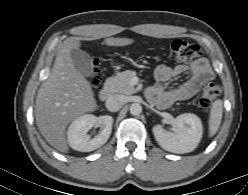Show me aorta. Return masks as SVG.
Returning a JSON list of instances; mask_svg holds the SVG:
<instances>
[{
  "label": "aorta",
  "mask_w": 248,
  "mask_h": 195,
  "mask_svg": "<svg viewBox=\"0 0 248 195\" xmlns=\"http://www.w3.org/2000/svg\"><path fill=\"white\" fill-rule=\"evenodd\" d=\"M142 112V106L139 103H133L130 106V113L134 116L140 115Z\"/></svg>",
  "instance_id": "aorta-1"
}]
</instances>
